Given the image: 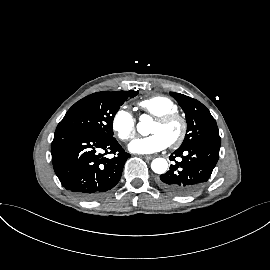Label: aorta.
<instances>
[{"label": "aorta", "mask_w": 270, "mask_h": 270, "mask_svg": "<svg viewBox=\"0 0 270 270\" xmlns=\"http://www.w3.org/2000/svg\"><path fill=\"white\" fill-rule=\"evenodd\" d=\"M151 124V117L148 115H142L140 117V122L137 124V131L141 135H148L149 134V127ZM151 168L153 172L157 174H163L167 171L168 163L164 158H156L152 161Z\"/></svg>", "instance_id": "1"}]
</instances>
